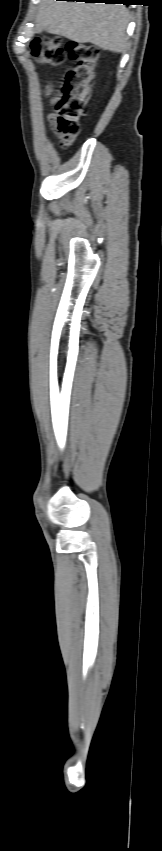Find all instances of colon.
<instances>
[{
	"label": "colon",
	"mask_w": 162,
	"mask_h": 851,
	"mask_svg": "<svg viewBox=\"0 0 162 851\" xmlns=\"http://www.w3.org/2000/svg\"><path fill=\"white\" fill-rule=\"evenodd\" d=\"M30 50L37 61L49 65L61 64L66 56L73 62L63 73L60 100L55 108L57 130L73 142L80 133V119L85 114L98 49L77 42L63 48L58 37H38L32 40Z\"/></svg>",
	"instance_id": "obj_1"
}]
</instances>
